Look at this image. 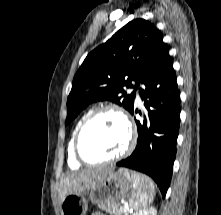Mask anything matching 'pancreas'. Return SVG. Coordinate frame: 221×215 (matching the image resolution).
<instances>
[{
	"label": "pancreas",
	"mask_w": 221,
	"mask_h": 215,
	"mask_svg": "<svg viewBox=\"0 0 221 215\" xmlns=\"http://www.w3.org/2000/svg\"><path fill=\"white\" fill-rule=\"evenodd\" d=\"M100 208L112 215H128L127 210L124 207L120 206L119 203H112L110 205H101Z\"/></svg>",
	"instance_id": "pancreas-1"
}]
</instances>
